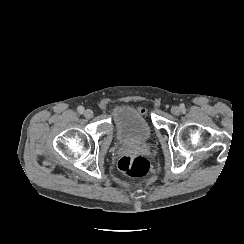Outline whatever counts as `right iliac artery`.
<instances>
[{"label": "right iliac artery", "instance_id": "right-iliac-artery-1", "mask_svg": "<svg viewBox=\"0 0 244 244\" xmlns=\"http://www.w3.org/2000/svg\"><path fill=\"white\" fill-rule=\"evenodd\" d=\"M78 112L82 114L84 112V107L83 106H78L77 108Z\"/></svg>", "mask_w": 244, "mask_h": 244}]
</instances>
